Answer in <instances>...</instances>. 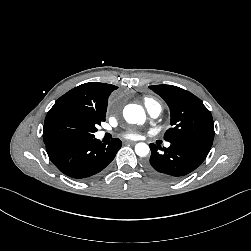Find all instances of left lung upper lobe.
<instances>
[{
  "mask_svg": "<svg viewBox=\"0 0 251 251\" xmlns=\"http://www.w3.org/2000/svg\"><path fill=\"white\" fill-rule=\"evenodd\" d=\"M170 108L171 126L164 135L169 142L194 141L212 146L214 123L210 111L192 93L172 85H153Z\"/></svg>",
  "mask_w": 251,
  "mask_h": 251,
  "instance_id": "5c2ea615",
  "label": "left lung upper lobe"
}]
</instances>
